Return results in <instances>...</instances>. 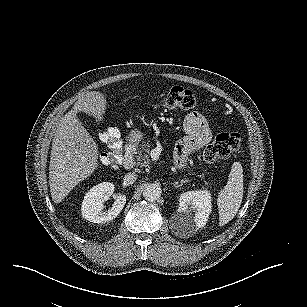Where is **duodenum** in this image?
I'll use <instances>...</instances> for the list:
<instances>
[{
    "mask_svg": "<svg viewBox=\"0 0 307 307\" xmlns=\"http://www.w3.org/2000/svg\"><path fill=\"white\" fill-rule=\"evenodd\" d=\"M134 146L132 144H128L125 147L123 166L125 169H131L134 166Z\"/></svg>",
    "mask_w": 307,
    "mask_h": 307,
    "instance_id": "1",
    "label": "duodenum"
}]
</instances>
